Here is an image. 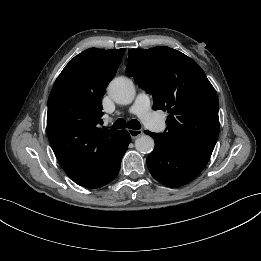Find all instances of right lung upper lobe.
<instances>
[{
  "label": "right lung upper lobe",
  "instance_id": "obj_1",
  "mask_svg": "<svg viewBox=\"0 0 261 261\" xmlns=\"http://www.w3.org/2000/svg\"><path fill=\"white\" fill-rule=\"evenodd\" d=\"M125 49L90 48L62 70L48 99L47 134L58 162L77 184L106 165L123 130L99 127L102 96Z\"/></svg>",
  "mask_w": 261,
  "mask_h": 261
}]
</instances>
